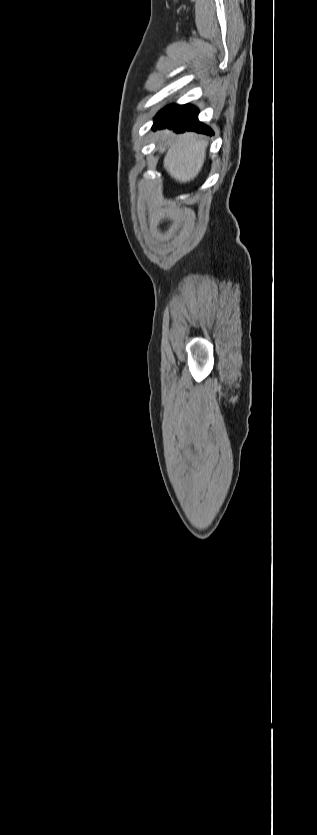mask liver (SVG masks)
<instances>
[{
  "instance_id": "liver-1",
  "label": "liver",
  "mask_w": 317,
  "mask_h": 835,
  "mask_svg": "<svg viewBox=\"0 0 317 835\" xmlns=\"http://www.w3.org/2000/svg\"><path fill=\"white\" fill-rule=\"evenodd\" d=\"M158 133L161 153L165 151L163 144L171 138L174 139L164 157V168L170 176L180 183H187L196 178L205 161L207 140L202 136L198 139L194 132L176 135L166 129Z\"/></svg>"
}]
</instances>
